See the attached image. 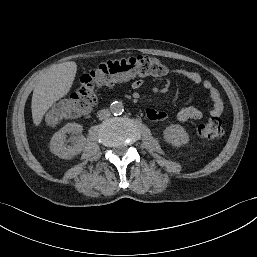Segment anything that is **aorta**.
I'll return each mask as SVG.
<instances>
[{
    "label": "aorta",
    "mask_w": 257,
    "mask_h": 257,
    "mask_svg": "<svg viewBox=\"0 0 257 257\" xmlns=\"http://www.w3.org/2000/svg\"><path fill=\"white\" fill-rule=\"evenodd\" d=\"M110 110L114 115H120L124 111V106L122 102H112L110 105Z\"/></svg>",
    "instance_id": "1"
}]
</instances>
